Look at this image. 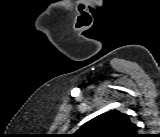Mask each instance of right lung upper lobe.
<instances>
[{
    "instance_id": "1",
    "label": "right lung upper lobe",
    "mask_w": 160,
    "mask_h": 137,
    "mask_svg": "<svg viewBox=\"0 0 160 137\" xmlns=\"http://www.w3.org/2000/svg\"><path fill=\"white\" fill-rule=\"evenodd\" d=\"M138 127L128 115L117 110L108 111L91 119L75 133L79 137H136Z\"/></svg>"
}]
</instances>
